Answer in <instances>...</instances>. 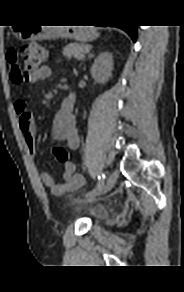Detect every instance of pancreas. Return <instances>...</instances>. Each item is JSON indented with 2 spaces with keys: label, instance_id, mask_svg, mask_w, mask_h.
Masks as SVG:
<instances>
[{
  "label": "pancreas",
  "instance_id": "pancreas-1",
  "mask_svg": "<svg viewBox=\"0 0 184 292\" xmlns=\"http://www.w3.org/2000/svg\"><path fill=\"white\" fill-rule=\"evenodd\" d=\"M88 48L89 46L86 44L70 43L64 47L62 53L66 57H79L82 56Z\"/></svg>",
  "mask_w": 184,
  "mask_h": 292
}]
</instances>
